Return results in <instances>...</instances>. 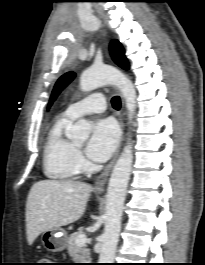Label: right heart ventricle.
<instances>
[{
	"instance_id": "e07e8e85",
	"label": "right heart ventricle",
	"mask_w": 205,
	"mask_h": 265,
	"mask_svg": "<svg viewBox=\"0 0 205 265\" xmlns=\"http://www.w3.org/2000/svg\"><path fill=\"white\" fill-rule=\"evenodd\" d=\"M72 121L63 115L47 133L43 146V172L50 179L70 180L78 172L76 147L65 135Z\"/></svg>"
}]
</instances>
